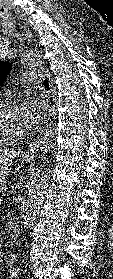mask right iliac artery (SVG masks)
I'll list each match as a JSON object with an SVG mask.
<instances>
[{
	"instance_id": "obj_1",
	"label": "right iliac artery",
	"mask_w": 113,
	"mask_h": 279,
	"mask_svg": "<svg viewBox=\"0 0 113 279\" xmlns=\"http://www.w3.org/2000/svg\"><path fill=\"white\" fill-rule=\"evenodd\" d=\"M19 275V269L18 268H13L11 270V276L12 277H17Z\"/></svg>"
}]
</instances>
